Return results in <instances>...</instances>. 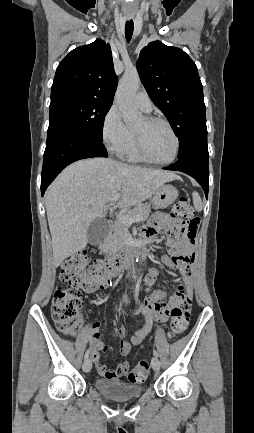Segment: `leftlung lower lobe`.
<instances>
[{
    "instance_id": "1",
    "label": "left lung lower lobe",
    "mask_w": 254,
    "mask_h": 433,
    "mask_svg": "<svg viewBox=\"0 0 254 433\" xmlns=\"http://www.w3.org/2000/svg\"><path fill=\"white\" fill-rule=\"evenodd\" d=\"M209 153L207 150H194L164 169L184 172L193 177L204 189L206 198L209 190Z\"/></svg>"
}]
</instances>
